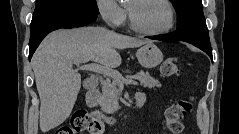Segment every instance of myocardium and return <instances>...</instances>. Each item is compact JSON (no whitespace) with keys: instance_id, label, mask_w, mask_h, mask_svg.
<instances>
[{"instance_id":"1","label":"myocardium","mask_w":239,"mask_h":134,"mask_svg":"<svg viewBox=\"0 0 239 134\" xmlns=\"http://www.w3.org/2000/svg\"><path fill=\"white\" fill-rule=\"evenodd\" d=\"M136 1H143V0H136ZM161 2L168 10L169 13V19L165 27L158 29V30H149L141 27L136 23L134 20L130 8L127 7V13H128V20H129V25L132 30H134L137 33L144 34V35H149V36H159L166 34L169 32L172 27L174 26L175 23V12L172 4L168 0H156Z\"/></svg>"}]
</instances>
